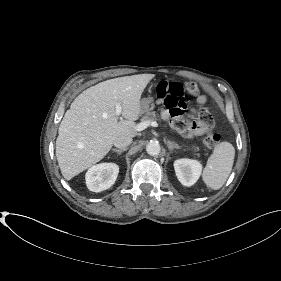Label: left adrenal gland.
Listing matches in <instances>:
<instances>
[{"label": "left adrenal gland", "mask_w": 281, "mask_h": 281, "mask_svg": "<svg viewBox=\"0 0 281 281\" xmlns=\"http://www.w3.org/2000/svg\"><path fill=\"white\" fill-rule=\"evenodd\" d=\"M165 142L170 152H172L174 149H180L179 145L175 142H172L170 140H165Z\"/></svg>", "instance_id": "a2214340"}]
</instances>
